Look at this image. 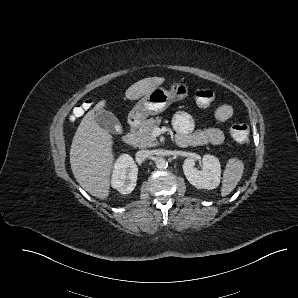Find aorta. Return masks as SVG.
Listing matches in <instances>:
<instances>
[{
    "label": "aorta",
    "instance_id": "obj_1",
    "mask_svg": "<svg viewBox=\"0 0 298 298\" xmlns=\"http://www.w3.org/2000/svg\"><path fill=\"white\" fill-rule=\"evenodd\" d=\"M167 160L164 158V157H158L157 159H156V166H157V168H159V169H164V168H166L167 167Z\"/></svg>",
    "mask_w": 298,
    "mask_h": 298
}]
</instances>
